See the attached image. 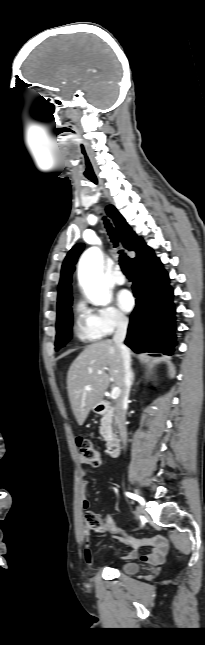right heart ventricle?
<instances>
[{"label":"right heart ventricle","mask_w":205,"mask_h":645,"mask_svg":"<svg viewBox=\"0 0 205 645\" xmlns=\"http://www.w3.org/2000/svg\"><path fill=\"white\" fill-rule=\"evenodd\" d=\"M75 333L82 341L92 342L101 338V335L91 324L90 313L83 306H79L77 309Z\"/></svg>","instance_id":"e07e8e85"}]
</instances>
